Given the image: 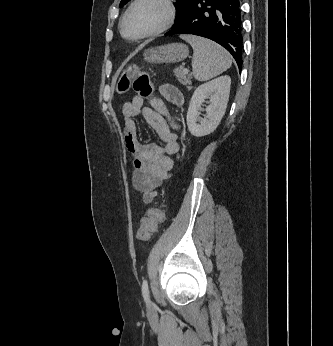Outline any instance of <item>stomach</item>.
<instances>
[{"instance_id": "1", "label": "stomach", "mask_w": 333, "mask_h": 346, "mask_svg": "<svg viewBox=\"0 0 333 346\" xmlns=\"http://www.w3.org/2000/svg\"><path fill=\"white\" fill-rule=\"evenodd\" d=\"M188 54L186 45L173 43L146 50L144 60L149 63H176L187 58Z\"/></svg>"}]
</instances>
